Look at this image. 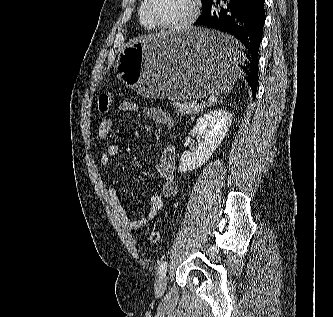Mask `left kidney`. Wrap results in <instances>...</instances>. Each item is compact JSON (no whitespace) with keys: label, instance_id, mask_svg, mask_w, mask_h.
Returning <instances> with one entry per match:
<instances>
[{"label":"left kidney","instance_id":"left-kidney-1","mask_svg":"<svg viewBox=\"0 0 333 317\" xmlns=\"http://www.w3.org/2000/svg\"><path fill=\"white\" fill-rule=\"evenodd\" d=\"M231 123L232 115L224 109L212 110L199 117L193 132L201 136L202 141L193 152L182 154L179 170L185 173L205 164L226 136Z\"/></svg>","mask_w":333,"mask_h":317}]
</instances>
